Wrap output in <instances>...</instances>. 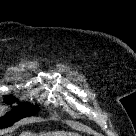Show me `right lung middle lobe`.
<instances>
[{
  "instance_id": "1",
  "label": "right lung middle lobe",
  "mask_w": 136,
  "mask_h": 136,
  "mask_svg": "<svg viewBox=\"0 0 136 136\" xmlns=\"http://www.w3.org/2000/svg\"><path fill=\"white\" fill-rule=\"evenodd\" d=\"M5 101L12 103L16 101L12 96H7ZM38 112L37 106H32L27 103H23L17 107H14L7 115L4 117L5 120L1 122L2 127H8L14 122L18 121L20 118L33 116Z\"/></svg>"
}]
</instances>
